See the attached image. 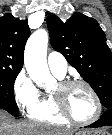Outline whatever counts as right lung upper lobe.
I'll list each match as a JSON object with an SVG mask.
<instances>
[{"mask_svg":"<svg viewBox=\"0 0 112 135\" xmlns=\"http://www.w3.org/2000/svg\"><path fill=\"white\" fill-rule=\"evenodd\" d=\"M29 35L27 20H19L11 14L0 18V70L22 69L24 48Z\"/></svg>","mask_w":112,"mask_h":135,"instance_id":"obj_1","label":"right lung upper lobe"}]
</instances>
